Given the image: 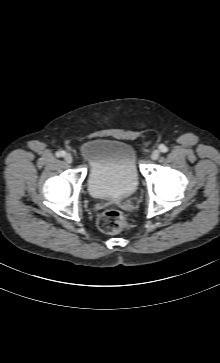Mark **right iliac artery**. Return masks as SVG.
<instances>
[{"mask_svg":"<svg viewBox=\"0 0 220 363\" xmlns=\"http://www.w3.org/2000/svg\"><path fill=\"white\" fill-rule=\"evenodd\" d=\"M65 154H66L65 151H58V152H56V156L57 157H63Z\"/></svg>","mask_w":220,"mask_h":363,"instance_id":"82829eb1","label":"right iliac artery"}]
</instances>
